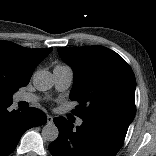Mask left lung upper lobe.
Returning <instances> with one entry per match:
<instances>
[{"mask_svg": "<svg viewBox=\"0 0 156 156\" xmlns=\"http://www.w3.org/2000/svg\"><path fill=\"white\" fill-rule=\"evenodd\" d=\"M60 57L74 73L70 99L81 119H113L129 126L135 117L136 80L130 66L103 46L60 47Z\"/></svg>", "mask_w": 156, "mask_h": 156, "instance_id": "left-lung-upper-lobe-1", "label": "left lung upper lobe"}]
</instances>
